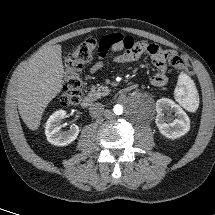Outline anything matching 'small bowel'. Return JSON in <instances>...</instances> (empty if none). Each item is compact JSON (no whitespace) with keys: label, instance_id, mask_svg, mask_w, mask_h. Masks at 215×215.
<instances>
[{"label":"small bowel","instance_id":"small-bowel-1","mask_svg":"<svg viewBox=\"0 0 215 215\" xmlns=\"http://www.w3.org/2000/svg\"><path fill=\"white\" fill-rule=\"evenodd\" d=\"M121 52L114 57L119 64L130 63L139 59L143 54H148L157 72L150 78L153 86L163 87L167 84V60L172 51L164 50L154 43L136 41L131 36L122 34H109L99 41L98 60L90 67L89 74L95 75L105 65L108 51Z\"/></svg>","mask_w":215,"mask_h":215}]
</instances>
